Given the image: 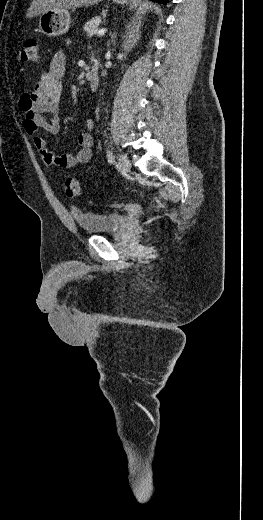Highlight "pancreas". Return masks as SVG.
<instances>
[{"instance_id": "obj_1", "label": "pancreas", "mask_w": 263, "mask_h": 520, "mask_svg": "<svg viewBox=\"0 0 263 520\" xmlns=\"http://www.w3.org/2000/svg\"><path fill=\"white\" fill-rule=\"evenodd\" d=\"M100 23L101 17H93L84 25V31L87 33L88 36H93L99 31Z\"/></svg>"}]
</instances>
